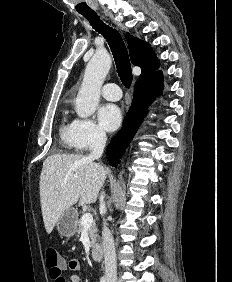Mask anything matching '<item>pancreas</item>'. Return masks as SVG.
I'll use <instances>...</instances> for the list:
<instances>
[{"label":"pancreas","instance_id":"cf45deb5","mask_svg":"<svg viewBox=\"0 0 232 282\" xmlns=\"http://www.w3.org/2000/svg\"><path fill=\"white\" fill-rule=\"evenodd\" d=\"M84 227L82 225L81 219L77 220V229L76 232L78 234H81L83 231ZM97 227L95 223H92V225L88 229V235L91 239V247H94L97 242Z\"/></svg>","mask_w":232,"mask_h":282}]
</instances>
